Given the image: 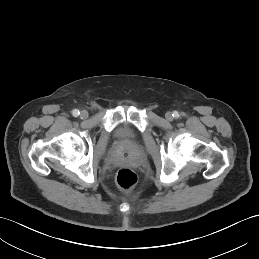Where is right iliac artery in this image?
Returning <instances> with one entry per match:
<instances>
[{
    "instance_id": "right-iliac-artery-1",
    "label": "right iliac artery",
    "mask_w": 259,
    "mask_h": 259,
    "mask_svg": "<svg viewBox=\"0 0 259 259\" xmlns=\"http://www.w3.org/2000/svg\"><path fill=\"white\" fill-rule=\"evenodd\" d=\"M72 114H73V116L77 117V116L80 114V112H79V110L74 109V110L72 111Z\"/></svg>"
}]
</instances>
